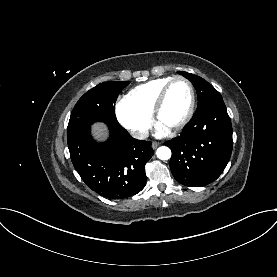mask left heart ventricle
I'll list each match as a JSON object with an SVG mask.
<instances>
[{
  "label": "left heart ventricle",
  "mask_w": 277,
  "mask_h": 277,
  "mask_svg": "<svg viewBox=\"0 0 277 277\" xmlns=\"http://www.w3.org/2000/svg\"><path fill=\"white\" fill-rule=\"evenodd\" d=\"M190 104V91L183 81L175 82L167 95L159 115V123L171 128L185 116Z\"/></svg>",
  "instance_id": "left-heart-ventricle-1"
}]
</instances>
